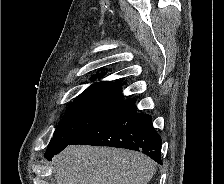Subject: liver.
<instances>
[{
	"mask_svg": "<svg viewBox=\"0 0 224 184\" xmlns=\"http://www.w3.org/2000/svg\"><path fill=\"white\" fill-rule=\"evenodd\" d=\"M53 162L57 184H147L156 171L146 155L110 147L68 146Z\"/></svg>",
	"mask_w": 224,
	"mask_h": 184,
	"instance_id": "6515ba94",
	"label": "liver"
}]
</instances>
